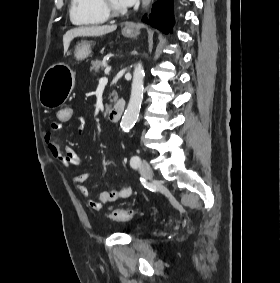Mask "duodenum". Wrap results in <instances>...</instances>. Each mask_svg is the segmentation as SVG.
<instances>
[{
    "instance_id": "1",
    "label": "duodenum",
    "mask_w": 280,
    "mask_h": 283,
    "mask_svg": "<svg viewBox=\"0 0 280 283\" xmlns=\"http://www.w3.org/2000/svg\"><path fill=\"white\" fill-rule=\"evenodd\" d=\"M125 102L123 100L118 101L108 112L107 120L111 123L118 122L124 112Z\"/></svg>"
}]
</instances>
